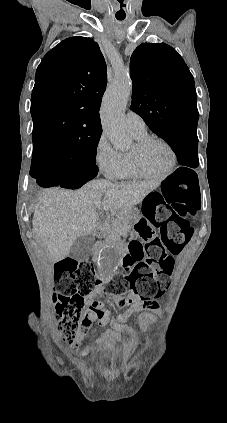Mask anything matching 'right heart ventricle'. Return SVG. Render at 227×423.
<instances>
[{
  "label": "right heart ventricle",
  "instance_id": "e07e8e85",
  "mask_svg": "<svg viewBox=\"0 0 227 423\" xmlns=\"http://www.w3.org/2000/svg\"><path fill=\"white\" fill-rule=\"evenodd\" d=\"M130 133L135 140H139V139H141V138H143L147 135L146 132L145 133H132V132H130ZM120 155H121V158H122V161H123V175H122V177H125V178L134 177L135 174H134L133 169H132L129 153L128 152H121Z\"/></svg>",
  "mask_w": 227,
  "mask_h": 423
}]
</instances>
